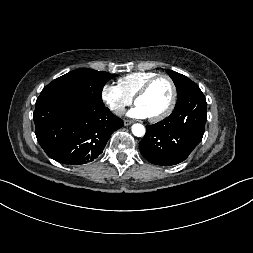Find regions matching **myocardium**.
<instances>
[{"mask_svg": "<svg viewBox=\"0 0 253 253\" xmlns=\"http://www.w3.org/2000/svg\"><path fill=\"white\" fill-rule=\"evenodd\" d=\"M166 79L171 87V100L170 103L168 105V107L159 115L154 116V117H148L149 120L151 122H159L164 120L165 118H167L174 110L175 106H176V102H177V88L175 85V82L173 81V79L167 75V74H157L156 76H154L153 78H151L150 80H148L140 89L139 91L135 94L134 96V103L136 104L137 100L139 98H141L142 96H144L148 90L150 89V87L159 79Z\"/></svg>", "mask_w": 253, "mask_h": 253, "instance_id": "obj_1", "label": "myocardium"}]
</instances>
